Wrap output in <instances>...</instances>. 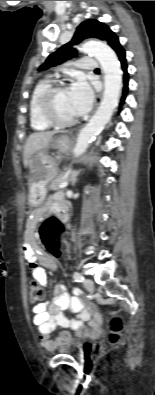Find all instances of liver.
I'll return each mask as SVG.
<instances>
[{"instance_id": "6515ba94", "label": "liver", "mask_w": 155, "mask_h": 395, "mask_svg": "<svg viewBox=\"0 0 155 395\" xmlns=\"http://www.w3.org/2000/svg\"><path fill=\"white\" fill-rule=\"evenodd\" d=\"M56 132L48 131V132H35L32 133L25 144L24 154H23V163L27 168L28 160L38 151H41L48 147L49 143L52 140L53 135Z\"/></svg>"}]
</instances>
